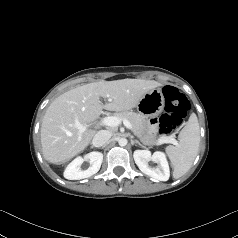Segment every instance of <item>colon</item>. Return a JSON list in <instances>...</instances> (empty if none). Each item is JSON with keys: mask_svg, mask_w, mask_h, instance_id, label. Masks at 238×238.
Here are the masks:
<instances>
[{"mask_svg": "<svg viewBox=\"0 0 238 238\" xmlns=\"http://www.w3.org/2000/svg\"><path fill=\"white\" fill-rule=\"evenodd\" d=\"M165 111L160 116L159 128L161 134H169L179 128L190 108L188 98L173 86L163 88Z\"/></svg>", "mask_w": 238, "mask_h": 238, "instance_id": "5ec220e1", "label": "colon"}]
</instances>
